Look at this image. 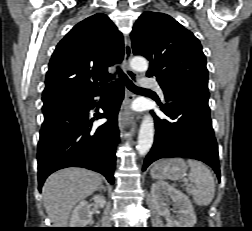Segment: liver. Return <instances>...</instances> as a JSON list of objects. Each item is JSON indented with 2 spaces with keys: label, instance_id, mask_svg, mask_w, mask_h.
<instances>
[{
  "label": "liver",
  "instance_id": "6515ba94",
  "mask_svg": "<svg viewBox=\"0 0 252 231\" xmlns=\"http://www.w3.org/2000/svg\"><path fill=\"white\" fill-rule=\"evenodd\" d=\"M100 186L101 179L96 173L81 168H67L49 176L42 188V195L54 228L68 226L73 207Z\"/></svg>",
  "mask_w": 252,
  "mask_h": 231
}]
</instances>
